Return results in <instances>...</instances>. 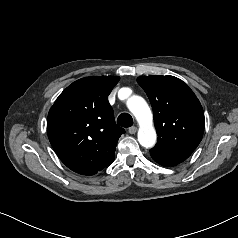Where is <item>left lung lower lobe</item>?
Masks as SVG:
<instances>
[{
	"label": "left lung lower lobe",
	"mask_w": 238,
	"mask_h": 238,
	"mask_svg": "<svg viewBox=\"0 0 238 238\" xmlns=\"http://www.w3.org/2000/svg\"><path fill=\"white\" fill-rule=\"evenodd\" d=\"M150 153H151L152 158L157 163H159L160 165H163V166H174L176 164L183 162L184 160H186L188 158V157H184V156L169 154L167 152H164L162 150H158L155 148L151 149Z\"/></svg>",
	"instance_id": "1"
}]
</instances>
